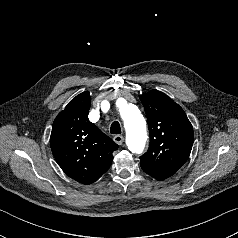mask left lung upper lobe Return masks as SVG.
Returning <instances> with one entry per match:
<instances>
[{
    "label": "left lung upper lobe",
    "instance_id": "5c2ea615",
    "mask_svg": "<svg viewBox=\"0 0 238 238\" xmlns=\"http://www.w3.org/2000/svg\"><path fill=\"white\" fill-rule=\"evenodd\" d=\"M140 99L150 132L148 151L141 168L152 177L166 179L187 161L194 139L193 127L183 109L166 94L150 91Z\"/></svg>",
    "mask_w": 238,
    "mask_h": 238
}]
</instances>
